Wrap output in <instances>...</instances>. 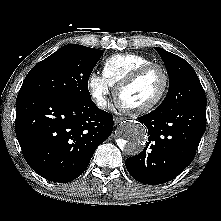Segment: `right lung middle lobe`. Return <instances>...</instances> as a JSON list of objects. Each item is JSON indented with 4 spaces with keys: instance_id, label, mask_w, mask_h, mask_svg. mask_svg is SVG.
Here are the masks:
<instances>
[{
    "instance_id": "dd1d6c3e",
    "label": "right lung middle lobe",
    "mask_w": 221,
    "mask_h": 221,
    "mask_svg": "<svg viewBox=\"0 0 221 221\" xmlns=\"http://www.w3.org/2000/svg\"><path fill=\"white\" fill-rule=\"evenodd\" d=\"M102 55V50L78 44L65 45L29 71L19 93L90 100L88 78Z\"/></svg>"
}]
</instances>
